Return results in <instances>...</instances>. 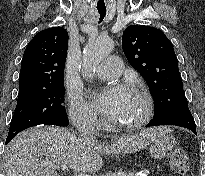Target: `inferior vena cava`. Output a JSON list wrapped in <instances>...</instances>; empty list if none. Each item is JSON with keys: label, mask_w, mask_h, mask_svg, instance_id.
<instances>
[{"label": "inferior vena cava", "mask_w": 205, "mask_h": 176, "mask_svg": "<svg viewBox=\"0 0 205 176\" xmlns=\"http://www.w3.org/2000/svg\"><path fill=\"white\" fill-rule=\"evenodd\" d=\"M78 138L84 143H95V126L91 120L84 119L76 122Z\"/></svg>", "instance_id": "inferior-vena-cava-1"}]
</instances>
